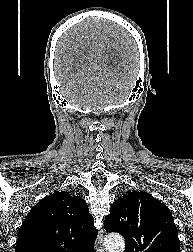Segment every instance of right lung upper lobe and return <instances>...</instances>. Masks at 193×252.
Listing matches in <instances>:
<instances>
[{
  "label": "right lung upper lobe",
  "mask_w": 193,
  "mask_h": 252,
  "mask_svg": "<svg viewBox=\"0 0 193 252\" xmlns=\"http://www.w3.org/2000/svg\"><path fill=\"white\" fill-rule=\"evenodd\" d=\"M97 233L86 202L58 191L28 213L19 229L16 252H93Z\"/></svg>",
  "instance_id": "1"
}]
</instances>
